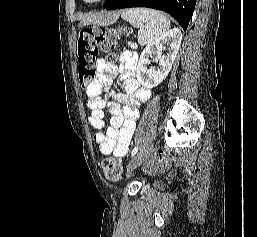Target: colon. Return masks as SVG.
I'll use <instances>...</instances> for the list:
<instances>
[{"instance_id": "5ec220e1", "label": "colon", "mask_w": 257, "mask_h": 237, "mask_svg": "<svg viewBox=\"0 0 257 237\" xmlns=\"http://www.w3.org/2000/svg\"><path fill=\"white\" fill-rule=\"evenodd\" d=\"M116 45L117 38L112 32L99 27H86L81 31L77 40V54L79 80L83 87L89 85L95 76V61L98 54L110 53ZM166 164V157L160 152L153 166L156 169H162ZM102 169L105 177L110 181H117L123 177L122 164L117 158H105L102 161Z\"/></svg>"}]
</instances>
